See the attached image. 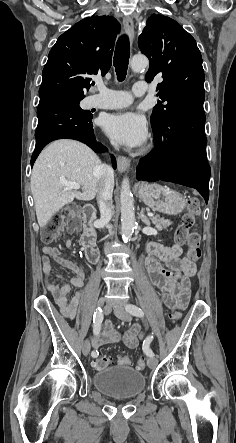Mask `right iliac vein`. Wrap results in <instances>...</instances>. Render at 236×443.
Instances as JSON below:
<instances>
[{
    "label": "right iliac vein",
    "instance_id": "obj_1",
    "mask_svg": "<svg viewBox=\"0 0 236 443\" xmlns=\"http://www.w3.org/2000/svg\"><path fill=\"white\" fill-rule=\"evenodd\" d=\"M110 311H111V305H109V304L105 305V306H104L103 313H104L105 315H107V314L110 313ZM90 348H91V346H90V341L87 339V340H85V342H84L83 345H82V352H83V354H84L85 356H87V355L89 354V352H90Z\"/></svg>",
    "mask_w": 236,
    "mask_h": 443
}]
</instances>
